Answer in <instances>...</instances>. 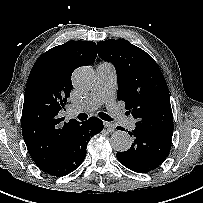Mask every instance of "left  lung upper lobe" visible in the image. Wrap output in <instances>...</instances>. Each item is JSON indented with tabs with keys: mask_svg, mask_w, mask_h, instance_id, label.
Here are the masks:
<instances>
[{
	"mask_svg": "<svg viewBox=\"0 0 203 203\" xmlns=\"http://www.w3.org/2000/svg\"><path fill=\"white\" fill-rule=\"evenodd\" d=\"M98 55L117 72V99L124 101L136 127L173 135V115L165 78L155 60L123 39L98 42Z\"/></svg>",
	"mask_w": 203,
	"mask_h": 203,
	"instance_id": "1",
	"label": "left lung upper lobe"
}]
</instances>
